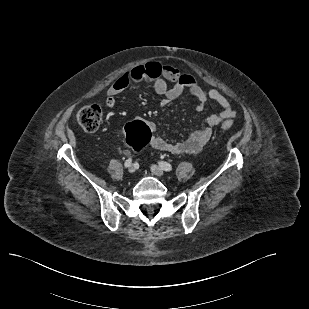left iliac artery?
Returning a JSON list of instances; mask_svg holds the SVG:
<instances>
[{"mask_svg":"<svg viewBox=\"0 0 309 309\" xmlns=\"http://www.w3.org/2000/svg\"><path fill=\"white\" fill-rule=\"evenodd\" d=\"M159 165L165 171H171L172 170V165L169 164L168 162L161 161V162H159Z\"/></svg>","mask_w":309,"mask_h":309,"instance_id":"left-iliac-artery-1","label":"left iliac artery"}]
</instances>
